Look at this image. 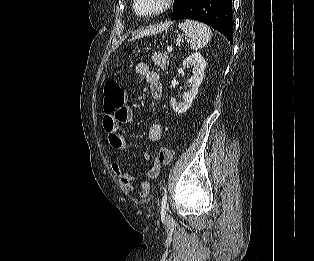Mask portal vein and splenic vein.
<instances>
[{
  "label": "portal vein and splenic vein",
  "mask_w": 314,
  "mask_h": 261,
  "mask_svg": "<svg viewBox=\"0 0 314 261\" xmlns=\"http://www.w3.org/2000/svg\"><path fill=\"white\" fill-rule=\"evenodd\" d=\"M168 52H172V47H167Z\"/></svg>",
  "instance_id": "1"
}]
</instances>
